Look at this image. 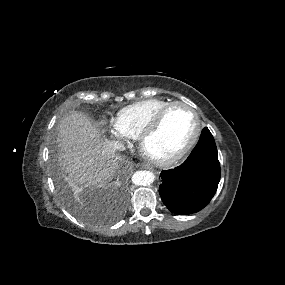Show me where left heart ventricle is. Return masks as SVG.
<instances>
[{"instance_id": "1", "label": "left heart ventricle", "mask_w": 285, "mask_h": 285, "mask_svg": "<svg viewBox=\"0 0 285 285\" xmlns=\"http://www.w3.org/2000/svg\"><path fill=\"white\" fill-rule=\"evenodd\" d=\"M194 130V116L183 107H175L159 129L146 140L144 150L158 159L171 157L188 143Z\"/></svg>"}]
</instances>
